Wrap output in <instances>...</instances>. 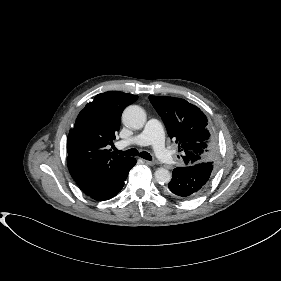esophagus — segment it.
<instances>
[{
    "label": "esophagus",
    "mask_w": 281,
    "mask_h": 281,
    "mask_svg": "<svg viewBox=\"0 0 281 281\" xmlns=\"http://www.w3.org/2000/svg\"><path fill=\"white\" fill-rule=\"evenodd\" d=\"M143 161L148 166H153L155 164L153 161H149V160H143Z\"/></svg>",
    "instance_id": "esophagus-1"
}]
</instances>
